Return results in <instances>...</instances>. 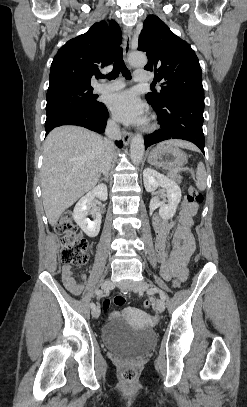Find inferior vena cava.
Listing matches in <instances>:
<instances>
[{"label": "inferior vena cava", "mask_w": 247, "mask_h": 407, "mask_svg": "<svg viewBox=\"0 0 247 407\" xmlns=\"http://www.w3.org/2000/svg\"><path fill=\"white\" fill-rule=\"evenodd\" d=\"M106 138L104 139L105 154L101 164V172L108 174L112 161V153L114 150V140L121 138L120 127L115 121H109L105 130Z\"/></svg>", "instance_id": "1"}]
</instances>
